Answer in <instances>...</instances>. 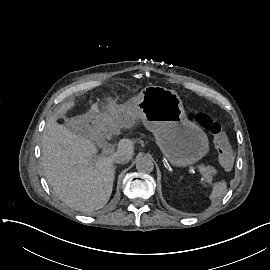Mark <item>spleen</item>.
<instances>
[{"label": "spleen", "instance_id": "3e777b00", "mask_svg": "<svg viewBox=\"0 0 270 270\" xmlns=\"http://www.w3.org/2000/svg\"><path fill=\"white\" fill-rule=\"evenodd\" d=\"M227 191V185L225 181L214 183L213 185V191L210 195L211 200H215L218 197H221L224 195Z\"/></svg>", "mask_w": 270, "mask_h": 270}]
</instances>
